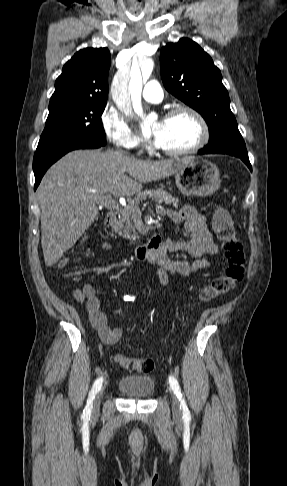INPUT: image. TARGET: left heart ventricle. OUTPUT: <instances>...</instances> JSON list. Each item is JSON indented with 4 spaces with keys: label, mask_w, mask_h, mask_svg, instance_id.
<instances>
[{
    "label": "left heart ventricle",
    "mask_w": 287,
    "mask_h": 486,
    "mask_svg": "<svg viewBox=\"0 0 287 486\" xmlns=\"http://www.w3.org/2000/svg\"><path fill=\"white\" fill-rule=\"evenodd\" d=\"M152 135L158 136V146L165 149H183L195 144L199 138L197 122L187 114L164 119L154 124Z\"/></svg>",
    "instance_id": "obj_1"
}]
</instances>
